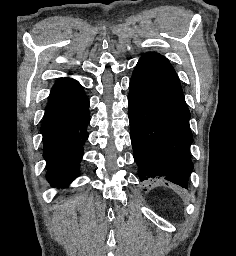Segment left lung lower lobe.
I'll return each mask as SVG.
<instances>
[{
  "instance_id": "left-lung-lower-lobe-1",
  "label": "left lung lower lobe",
  "mask_w": 236,
  "mask_h": 256,
  "mask_svg": "<svg viewBox=\"0 0 236 256\" xmlns=\"http://www.w3.org/2000/svg\"><path fill=\"white\" fill-rule=\"evenodd\" d=\"M128 103L140 181H168L187 188L193 136L183 91L135 68Z\"/></svg>"
}]
</instances>
